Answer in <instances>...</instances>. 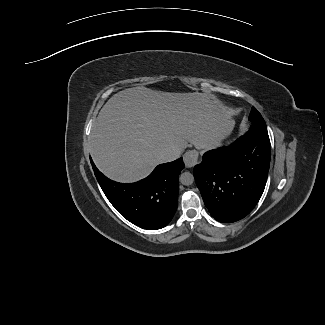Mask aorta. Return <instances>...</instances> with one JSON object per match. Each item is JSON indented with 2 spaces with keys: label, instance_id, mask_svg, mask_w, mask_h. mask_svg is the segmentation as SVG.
<instances>
[{
  "label": "aorta",
  "instance_id": "1",
  "mask_svg": "<svg viewBox=\"0 0 325 325\" xmlns=\"http://www.w3.org/2000/svg\"><path fill=\"white\" fill-rule=\"evenodd\" d=\"M179 180L183 185L189 186L194 182V176L190 172H184L180 175Z\"/></svg>",
  "mask_w": 325,
  "mask_h": 325
}]
</instances>
